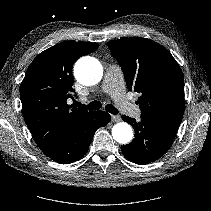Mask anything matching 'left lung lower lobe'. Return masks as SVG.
Instances as JSON below:
<instances>
[{"label": "left lung lower lobe", "mask_w": 211, "mask_h": 211, "mask_svg": "<svg viewBox=\"0 0 211 211\" xmlns=\"http://www.w3.org/2000/svg\"><path fill=\"white\" fill-rule=\"evenodd\" d=\"M135 130L134 140L123 145L124 156L136 164H148L163 156L171 147L182 118L162 115H141L134 118L122 116Z\"/></svg>", "instance_id": "obj_1"}]
</instances>
